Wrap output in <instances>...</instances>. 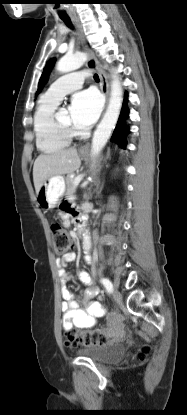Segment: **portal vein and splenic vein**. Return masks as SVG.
Wrapping results in <instances>:
<instances>
[{
    "instance_id": "portal-vein-and-splenic-vein-1",
    "label": "portal vein and splenic vein",
    "mask_w": 187,
    "mask_h": 415,
    "mask_svg": "<svg viewBox=\"0 0 187 415\" xmlns=\"http://www.w3.org/2000/svg\"><path fill=\"white\" fill-rule=\"evenodd\" d=\"M83 177H84L83 174H80L77 177H75V179H74V186L75 187L81 182V180L83 179Z\"/></svg>"
}]
</instances>
